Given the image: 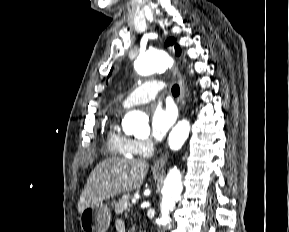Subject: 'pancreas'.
Masks as SVG:
<instances>
[{
	"label": "pancreas",
	"mask_w": 289,
	"mask_h": 232,
	"mask_svg": "<svg viewBox=\"0 0 289 232\" xmlns=\"http://www.w3.org/2000/svg\"><path fill=\"white\" fill-rule=\"evenodd\" d=\"M132 197L129 194H125L117 203H115V213L121 214L123 212L129 211L130 209V200Z\"/></svg>",
	"instance_id": "1"
}]
</instances>
